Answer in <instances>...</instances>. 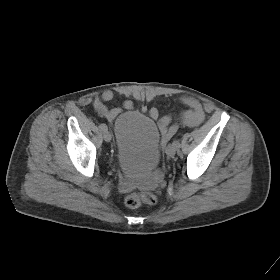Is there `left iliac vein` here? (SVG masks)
<instances>
[{"instance_id":"4c4485c4","label":"left iliac vein","mask_w":280,"mask_h":280,"mask_svg":"<svg viewBox=\"0 0 280 280\" xmlns=\"http://www.w3.org/2000/svg\"><path fill=\"white\" fill-rule=\"evenodd\" d=\"M176 150H177L176 147H174L173 145H169L166 148V154L170 157H173L176 154Z\"/></svg>"}]
</instances>
